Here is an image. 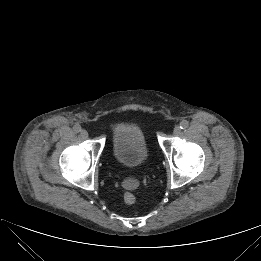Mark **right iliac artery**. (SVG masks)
I'll return each mask as SVG.
<instances>
[{"instance_id": "1", "label": "right iliac artery", "mask_w": 261, "mask_h": 261, "mask_svg": "<svg viewBox=\"0 0 261 261\" xmlns=\"http://www.w3.org/2000/svg\"><path fill=\"white\" fill-rule=\"evenodd\" d=\"M74 131L75 132H80L81 131V126L76 124L74 127H73Z\"/></svg>"}]
</instances>
